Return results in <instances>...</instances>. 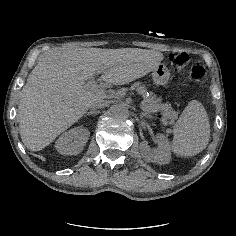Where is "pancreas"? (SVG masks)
Here are the masks:
<instances>
[{"mask_svg": "<svg viewBox=\"0 0 236 236\" xmlns=\"http://www.w3.org/2000/svg\"><path fill=\"white\" fill-rule=\"evenodd\" d=\"M138 92L141 93V98L144 99L143 108L150 110L151 112L158 110L161 105V98H158L156 95L149 96V92L145 91L146 87L143 84L138 85L137 87ZM124 96L123 90H118L112 94L106 95L107 101H112L114 99H119L120 97Z\"/></svg>", "mask_w": 236, "mask_h": 236, "instance_id": "obj_1", "label": "pancreas"}]
</instances>
